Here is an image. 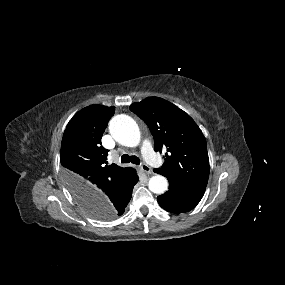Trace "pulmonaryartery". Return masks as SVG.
<instances>
[{
	"label": "pulmonary artery",
	"mask_w": 285,
	"mask_h": 285,
	"mask_svg": "<svg viewBox=\"0 0 285 285\" xmlns=\"http://www.w3.org/2000/svg\"><path fill=\"white\" fill-rule=\"evenodd\" d=\"M141 152L144 159L150 165L157 167L159 166L160 160L157 154L154 152L151 142L149 140H143L141 143Z\"/></svg>",
	"instance_id": "e3ab8cb5"
}]
</instances>
